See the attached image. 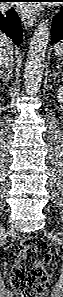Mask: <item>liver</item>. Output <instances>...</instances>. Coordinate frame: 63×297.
Wrapping results in <instances>:
<instances>
[{
  "label": "liver",
  "instance_id": "obj_1",
  "mask_svg": "<svg viewBox=\"0 0 63 297\" xmlns=\"http://www.w3.org/2000/svg\"><path fill=\"white\" fill-rule=\"evenodd\" d=\"M13 45L11 40L5 35L0 34V58L2 55L12 52Z\"/></svg>",
  "mask_w": 63,
  "mask_h": 297
}]
</instances>
